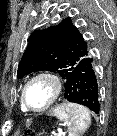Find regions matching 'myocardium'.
I'll return each instance as SVG.
<instances>
[{"label": "myocardium", "mask_w": 117, "mask_h": 136, "mask_svg": "<svg viewBox=\"0 0 117 136\" xmlns=\"http://www.w3.org/2000/svg\"><path fill=\"white\" fill-rule=\"evenodd\" d=\"M41 79L46 80L50 83V85L52 87V95H51L50 100L48 101V103L44 107H42L40 109H32L31 107H29V105L27 103L26 92H27V89L31 83H33L34 81H37V80H41ZM62 88H63L62 81L57 74L50 72V71L38 72V73L34 74L33 76H31L24 84V86L22 88V92H21V104H22L24 110L27 112H32V113L45 112L59 98V96L61 95V92H62Z\"/></svg>", "instance_id": "myocardium-1"}]
</instances>
